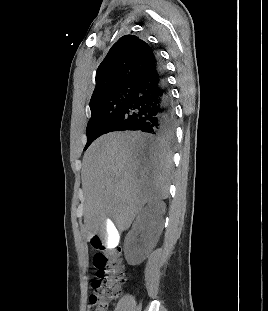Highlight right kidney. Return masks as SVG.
Listing matches in <instances>:
<instances>
[{"mask_svg":"<svg viewBox=\"0 0 268 311\" xmlns=\"http://www.w3.org/2000/svg\"><path fill=\"white\" fill-rule=\"evenodd\" d=\"M166 205L152 200L138 214L124 241V254L130 265L142 263L156 246L164 226Z\"/></svg>","mask_w":268,"mask_h":311,"instance_id":"obj_1","label":"right kidney"}]
</instances>
